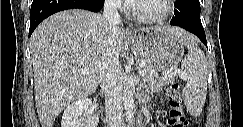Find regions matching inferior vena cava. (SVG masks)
Returning a JSON list of instances; mask_svg holds the SVG:
<instances>
[{
	"label": "inferior vena cava",
	"instance_id": "obj_1",
	"mask_svg": "<svg viewBox=\"0 0 243 127\" xmlns=\"http://www.w3.org/2000/svg\"><path fill=\"white\" fill-rule=\"evenodd\" d=\"M121 0H105L103 17L107 21L110 32H114L120 24L118 9ZM101 90L105 93V113L107 127H120L122 122V78L118 54L110 38L99 76Z\"/></svg>",
	"mask_w": 243,
	"mask_h": 127
}]
</instances>
